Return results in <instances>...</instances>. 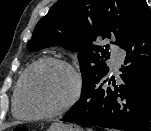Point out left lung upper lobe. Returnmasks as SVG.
Masks as SVG:
<instances>
[{
  "instance_id": "5c2ea615",
  "label": "left lung upper lobe",
  "mask_w": 151,
  "mask_h": 131,
  "mask_svg": "<svg viewBox=\"0 0 151 131\" xmlns=\"http://www.w3.org/2000/svg\"><path fill=\"white\" fill-rule=\"evenodd\" d=\"M145 0H61L42 17L27 45L29 51L58 45L78 52L82 73V93L98 78L107 75L109 45L99 40L111 38L120 48L126 43L138 10Z\"/></svg>"
}]
</instances>
